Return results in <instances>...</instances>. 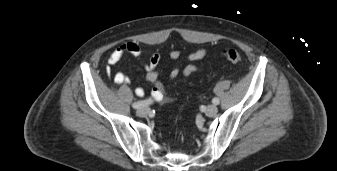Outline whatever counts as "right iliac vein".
<instances>
[{"label": "right iliac vein", "instance_id": "obj_1", "mask_svg": "<svg viewBox=\"0 0 337 171\" xmlns=\"http://www.w3.org/2000/svg\"><path fill=\"white\" fill-rule=\"evenodd\" d=\"M150 109L148 107H142L137 111V115L140 117H144L149 113Z\"/></svg>", "mask_w": 337, "mask_h": 171}]
</instances>
